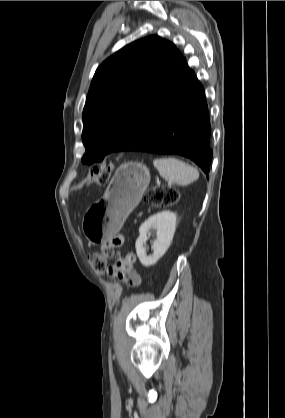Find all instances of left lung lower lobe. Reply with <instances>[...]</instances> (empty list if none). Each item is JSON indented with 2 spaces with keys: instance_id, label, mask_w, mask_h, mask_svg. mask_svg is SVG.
Instances as JSON below:
<instances>
[{
  "instance_id": "left-lung-lower-lobe-1",
  "label": "left lung lower lobe",
  "mask_w": 285,
  "mask_h": 418,
  "mask_svg": "<svg viewBox=\"0 0 285 418\" xmlns=\"http://www.w3.org/2000/svg\"><path fill=\"white\" fill-rule=\"evenodd\" d=\"M209 109L202 84L186 59L123 151L178 154L209 171L212 150Z\"/></svg>"
}]
</instances>
